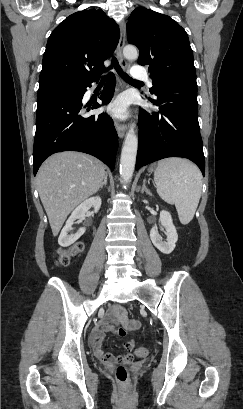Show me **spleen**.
Returning a JSON list of instances; mask_svg holds the SVG:
<instances>
[{
    "label": "spleen",
    "instance_id": "obj_1",
    "mask_svg": "<svg viewBox=\"0 0 243 409\" xmlns=\"http://www.w3.org/2000/svg\"><path fill=\"white\" fill-rule=\"evenodd\" d=\"M154 183L159 196L175 205L180 222L188 224L194 217L201 197L200 170L186 159H164L157 164Z\"/></svg>",
    "mask_w": 243,
    "mask_h": 409
}]
</instances>
